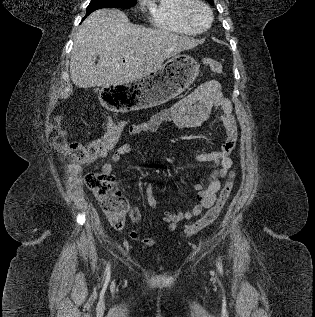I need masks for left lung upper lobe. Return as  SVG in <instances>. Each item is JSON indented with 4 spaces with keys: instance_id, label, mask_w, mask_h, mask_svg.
I'll return each mask as SVG.
<instances>
[{
    "instance_id": "obj_1",
    "label": "left lung upper lobe",
    "mask_w": 315,
    "mask_h": 317,
    "mask_svg": "<svg viewBox=\"0 0 315 317\" xmlns=\"http://www.w3.org/2000/svg\"><path fill=\"white\" fill-rule=\"evenodd\" d=\"M207 1L209 2L210 5H212V6L214 5L213 0H207Z\"/></svg>"
}]
</instances>
